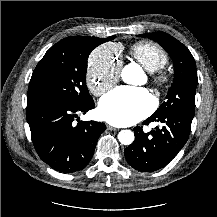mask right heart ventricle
<instances>
[{"label": "right heart ventricle", "mask_w": 217, "mask_h": 217, "mask_svg": "<svg viewBox=\"0 0 217 217\" xmlns=\"http://www.w3.org/2000/svg\"><path fill=\"white\" fill-rule=\"evenodd\" d=\"M129 54L149 72L163 68L168 61L166 52L150 41H139L133 44L129 49Z\"/></svg>", "instance_id": "e07e8e85"}]
</instances>
